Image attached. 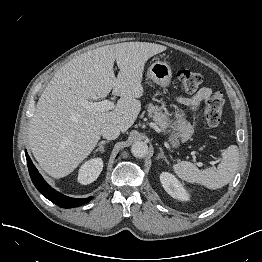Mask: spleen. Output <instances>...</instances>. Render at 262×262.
<instances>
[{"instance_id":"3e777b00","label":"spleen","mask_w":262,"mask_h":262,"mask_svg":"<svg viewBox=\"0 0 262 262\" xmlns=\"http://www.w3.org/2000/svg\"><path fill=\"white\" fill-rule=\"evenodd\" d=\"M239 161L237 146L231 145L222 151V159L217 169L207 168L199 170L195 164L182 161L173 165L176 175L183 181L199 183L216 190L227 185L234 177Z\"/></svg>"}]
</instances>
